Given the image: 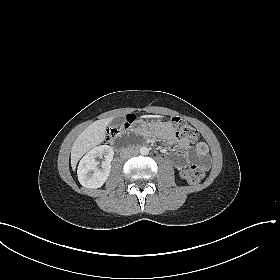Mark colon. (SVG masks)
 <instances>
[{
  "instance_id": "obj_1",
  "label": "colon",
  "mask_w": 280,
  "mask_h": 280,
  "mask_svg": "<svg viewBox=\"0 0 280 280\" xmlns=\"http://www.w3.org/2000/svg\"><path fill=\"white\" fill-rule=\"evenodd\" d=\"M136 120V117L130 115L126 118L125 123L121 127H111L107 131L109 139L114 138L121 129L127 128ZM164 120L173 128L176 135L187 138L192 142L197 141L198 131L186 120L180 117H166ZM182 177L191 184L199 183L205 177V170L197 165H191L184 168L181 172Z\"/></svg>"
}]
</instances>
